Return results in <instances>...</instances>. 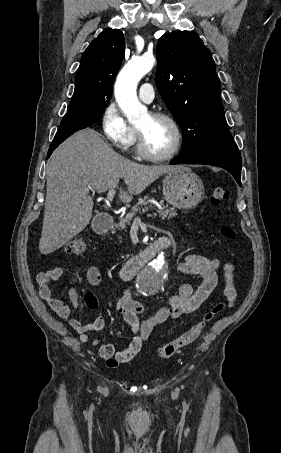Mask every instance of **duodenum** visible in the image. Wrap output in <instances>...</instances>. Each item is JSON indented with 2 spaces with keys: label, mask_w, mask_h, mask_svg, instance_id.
Returning <instances> with one entry per match:
<instances>
[{
  "label": "duodenum",
  "mask_w": 281,
  "mask_h": 453,
  "mask_svg": "<svg viewBox=\"0 0 281 453\" xmlns=\"http://www.w3.org/2000/svg\"><path fill=\"white\" fill-rule=\"evenodd\" d=\"M111 225L112 219L110 217H100L94 223V230L97 234L101 235L106 233L110 229ZM169 246L170 243L166 238H161L150 244L123 265L119 273L120 277L123 280L131 279L149 260Z\"/></svg>",
  "instance_id": "1"
}]
</instances>
